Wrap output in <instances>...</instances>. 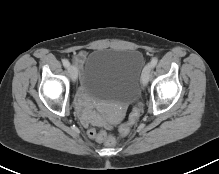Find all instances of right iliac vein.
<instances>
[{
	"instance_id": "right-iliac-vein-1",
	"label": "right iliac vein",
	"mask_w": 219,
	"mask_h": 174,
	"mask_svg": "<svg viewBox=\"0 0 219 174\" xmlns=\"http://www.w3.org/2000/svg\"><path fill=\"white\" fill-rule=\"evenodd\" d=\"M68 72H69V75H70L71 79L73 81H75L77 79V76H78L77 68L74 65H70L68 67Z\"/></svg>"
}]
</instances>
